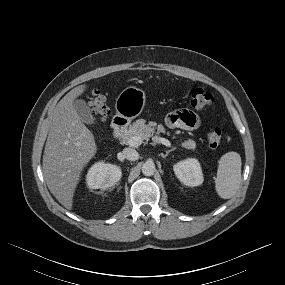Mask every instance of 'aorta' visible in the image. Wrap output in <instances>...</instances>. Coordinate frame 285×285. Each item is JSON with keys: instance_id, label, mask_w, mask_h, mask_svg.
<instances>
[{"instance_id": "1", "label": "aorta", "mask_w": 285, "mask_h": 285, "mask_svg": "<svg viewBox=\"0 0 285 285\" xmlns=\"http://www.w3.org/2000/svg\"><path fill=\"white\" fill-rule=\"evenodd\" d=\"M155 171V164L152 161H146L142 166V173L145 176H152Z\"/></svg>"}]
</instances>
